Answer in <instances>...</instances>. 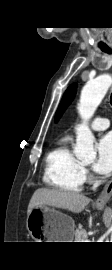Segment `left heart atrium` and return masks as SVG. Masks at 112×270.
<instances>
[{
	"instance_id": "obj_1",
	"label": "left heart atrium",
	"mask_w": 112,
	"mask_h": 270,
	"mask_svg": "<svg viewBox=\"0 0 112 270\" xmlns=\"http://www.w3.org/2000/svg\"><path fill=\"white\" fill-rule=\"evenodd\" d=\"M94 170L100 174L112 171V132L101 137L97 144V160Z\"/></svg>"
}]
</instances>
